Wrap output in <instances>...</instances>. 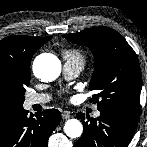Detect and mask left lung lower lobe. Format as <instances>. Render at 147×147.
<instances>
[{
	"label": "left lung lower lobe",
	"instance_id": "0a47b994",
	"mask_svg": "<svg viewBox=\"0 0 147 147\" xmlns=\"http://www.w3.org/2000/svg\"><path fill=\"white\" fill-rule=\"evenodd\" d=\"M76 117L82 119L84 132L74 147H127L137 126L110 112L100 111L99 118H88L89 122L81 112Z\"/></svg>",
	"mask_w": 147,
	"mask_h": 147
}]
</instances>
